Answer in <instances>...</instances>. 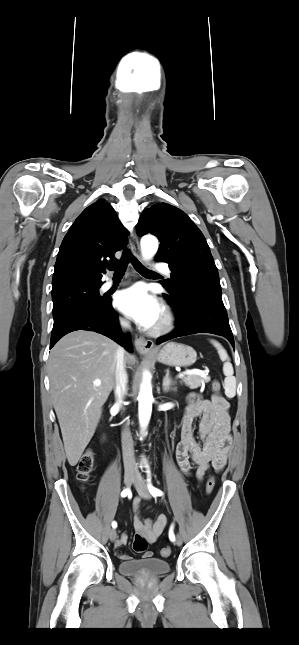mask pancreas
Wrapping results in <instances>:
<instances>
[{"mask_svg":"<svg viewBox=\"0 0 299 645\" xmlns=\"http://www.w3.org/2000/svg\"><path fill=\"white\" fill-rule=\"evenodd\" d=\"M209 381L210 377L207 374H205L204 376L194 374L182 377V382L190 389H196L202 384L208 383Z\"/></svg>","mask_w":299,"mask_h":645,"instance_id":"obj_1","label":"pancreas"}]
</instances>
